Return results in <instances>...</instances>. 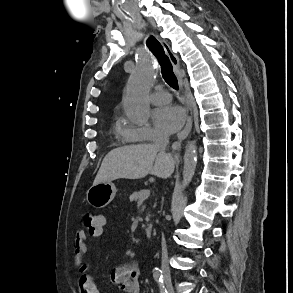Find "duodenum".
Segmentation results:
<instances>
[{
    "mask_svg": "<svg viewBox=\"0 0 293 293\" xmlns=\"http://www.w3.org/2000/svg\"><path fill=\"white\" fill-rule=\"evenodd\" d=\"M146 234H147L149 237L152 236V234H153V227H152L151 225H148V226L146 227Z\"/></svg>",
    "mask_w": 293,
    "mask_h": 293,
    "instance_id": "duodenum-1",
    "label": "duodenum"
}]
</instances>
